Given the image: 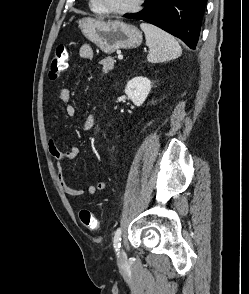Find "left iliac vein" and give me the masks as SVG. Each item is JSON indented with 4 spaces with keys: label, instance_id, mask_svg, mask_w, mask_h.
Returning <instances> with one entry per match:
<instances>
[{
    "label": "left iliac vein",
    "instance_id": "left-iliac-vein-1",
    "mask_svg": "<svg viewBox=\"0 0 249 294\" xmlns=\"http://www.w3.org/2000/svg\"><path fill=\"white\" fill-rule=\"evenodd\" d=\"M119 255H120V260L119 261L120 262L125 261V259H126V253H125V251L123 249H120Z\"/></svg>",
    "mask_w": 249,
    "mask_h": 294
}]
</instances>
